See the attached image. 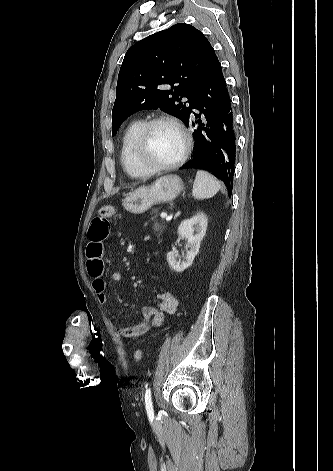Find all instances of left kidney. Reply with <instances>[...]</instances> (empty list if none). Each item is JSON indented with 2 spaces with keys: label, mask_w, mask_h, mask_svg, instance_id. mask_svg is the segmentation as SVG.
I'll return each mask as SVG.
<instances>
[{
  "label": "left kidney",
  "mask_w": 333,
  "mask_h": 471,
  "mask_svg": "<svg viewBox=\"0 0 333 471\" xmlns=\"http://www.w3.org/2000/svg\"><path fill=\"white\" fill-rule=\"evenodd\" d=\"M207 225V216L203 213H199L181 222L178 227V239L187 238L189 250H187L185 261L182 262L178 260L177 250L168 252L167 261L172 270L182 272L192 265L195 256L199 252L200 243L205 236ZM194 231H196L195 234Z\"/></svg>",
  "instance_id": "5707ae66"
}]
</instances>
